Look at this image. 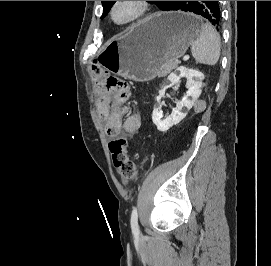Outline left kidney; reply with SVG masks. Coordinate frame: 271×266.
Listing matches in <instances>:
<instances>
[{
    "label": "left kidney",
    "mask_w": 271,
    "mask_h": 266,
    "mask_svg": "<svg viewBox=\"0 0 271 266\" xmlns=\"http://www.w3.org/2000/svg\"><path fill=\"white\" fill-rule=\"evenodd\" d=\"M176 72H179V75H177ZM181 77L187 79L186 88L188 89V94L182 98L181 101L176 102V108L173 109L170 116L162 119L163 112L161 110L160 101L165 94V88L159 91V95L156 98L158 106L154 107L152 120L157 126V129L161 132L168 131L173 125H176L183 120L186 117L187 112L194 105L195 100H197L201 94L202 78L199 71L179 67L175 72L168 76V80L170 81L169 86L178 84Z\"/></svg>",
    "instance_id": "1"
}]
</instances>
